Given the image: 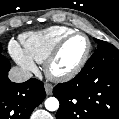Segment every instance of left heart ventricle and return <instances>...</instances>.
Listing matches in <instances>:
<instances>
[{"mask_svg": "<svg viewBox=\"0 0 119 119\" xmlns=\"http://www.w3.org/2000/svg\"><path fill=\"white\" fill-rule=\"evenodd\" d=\"M87 50V41L83 36H74L62 48L53 64L56 73L66 72L74 68Z\"/></svg>", "mask_w": 119, "mask_h": 119, "instance_id": "1", "label": "left heart ventricle"}]
</instances>
